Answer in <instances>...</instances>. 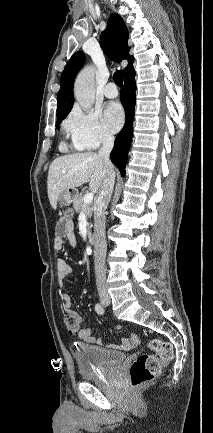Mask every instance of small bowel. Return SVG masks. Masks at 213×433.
Wrapping results in <instances>:
<instances>
[{"mask_svg": "<svg viewBox=\"0 0 213 433\" xmlns=\"http://www.w3.org/2000/svg\"><path fill=\"white\" fill-rule=\"evenodd\" d=\"M64 239H67L70 245L75 246L77 240L74 234L73 221L69 217H64L60 219L55 228V237L53 246L56 251H60L64 245ZM57 280L61 287L69 288L68 279L72 275V266L70 263L62 258H59L56 263ZM61 298L63 301V308L66 312L74 311L72 309L71 298L67 292L61 293ZM78 337L85 342L97 343L100 339L92 336V331L90 328H83L78 332ZM140 340L136 334H132L129 338L125 339L119 346L123 350H129L134 346L139 344Z\"/></svg>", "mask_w": 213, "mask_h": 433, "instance_id": "1", "label": "small bowel"}]
</instances>
